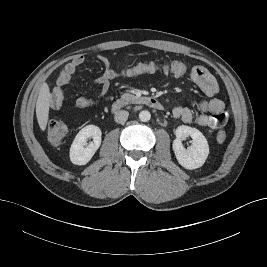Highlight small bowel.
Masks as SVG:
<instances>
[{
  "mask_svg": "<svg viewBox=\"0 0 267 267\" xmlns=\"http://www.w3.org/2000/svg\"><path fill=\"white\" fill-rule=\"evenodd\" d=\"M104 67L103 73L94 80L99 87L98 96L95 98L78 97L74 104L77 108H88L95 106L109 91L110 83L116 79V71L110 66L108 58L104 55L98 56ZM84 63V57L75 56L61 70L56 87L50 94V106L59 109L65 99V87L70 83L72 76ZM190 78L202 90L207 97L206 100L197 105V112L189 107H176L173 115L186 123H194L200 127L218 129L224 126L228 120V115L224 109L222 100L216 98L218 93V83L210 72L203 66L196 65L190 71Z\"/></svg>",
  "mask_w": 267,
  "mask_h": 267,
  "instance_id": "c3829d8e",
  "label": "small bowel"
}]
</instances>
